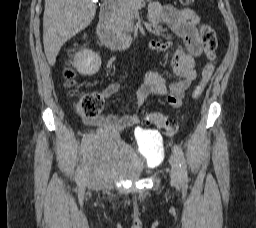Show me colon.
<instances>
[{
	"mask_svg": "<svg viewBox=\"0 0 256 228\" xmlns=\"http://www.w3.org/2000/svg\"><path fill=\"white\" fill-rule=\"evenodd\" d=\"M180 2L183 5L188 6L191 5L194 0H180ZM201 39L205 45V53L208 63L203 68L201 78L192 92L193 99H198L203 94L213 75L216 64L215 51L217 48V38L215 31L209 25H203L201 27ZM64 75L67 79V86L71 88L73 86L74 70L70 63L65 68ZM70 94L75 95V92L71 90ZM103 102L104 99L101 93H86L79 98L77 102V110L85 118H97L102 111ZM145 123L156 125L169 133H172L175 130L174 124L159 112L147 113L145 116Z\"/></svg>",
	"mask_w": 256,
	"mask_h": 228,
	"instance_id": "5ec220e1",
	"label": "colon"
}]
</instances>
